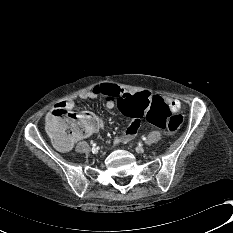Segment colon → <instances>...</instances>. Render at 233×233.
Wrapping results in <instances>:
<instances>
[{
	"label": "colon",
	"instance_id": "1",
	"mask_svg": "<svg viewBox=\"0 0 233 233\" xmlns=\"http://www.w3.org/2000/svg\"><path fill=\"white\" fill-rule=\"evenodd\" d=\"M117 106L123 114L133 118L146 112L148 123L171 134L176 133L183 122L176 102L167 106L162 98L146 90L123 93L117 99ZM47 127L54 138L81 139L97 129L98 122L90 113H75L64 104H59L52 109Z\"/></svg>",
	"mask_w": 233,
	"mask_h": 233
}]
</instances>
